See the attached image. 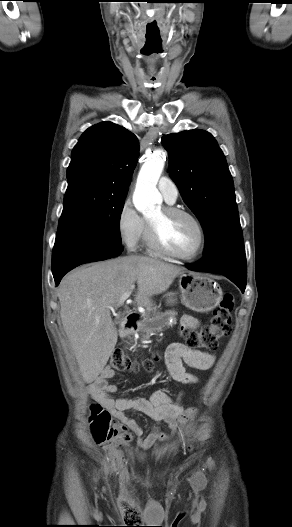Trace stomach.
<instances>
[{
	"instance_id": "0dacf381",
	"label": "stomach",
	"mask_w": 292,
	"mask_h": 527,
	"mask_svg": "<svg viewBox=\"0 0 292 527\" xmlns=\"http://www.w3.org/2000/svg\"><path fill=\"white\" fill-rule=\"evenodd\" d=\"M178 285L181 303L195 312L203 313L213 310L222 298V290L218 284L201 274L181 273ZM176 294L178 293L167 295L169 304L177 303ZM153 309L149 308V311Z\"/></svg>"
}]
</instances>
